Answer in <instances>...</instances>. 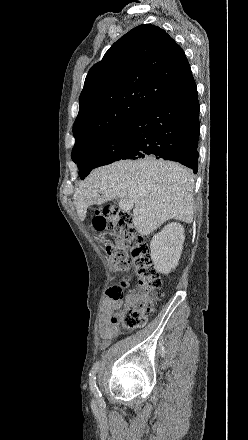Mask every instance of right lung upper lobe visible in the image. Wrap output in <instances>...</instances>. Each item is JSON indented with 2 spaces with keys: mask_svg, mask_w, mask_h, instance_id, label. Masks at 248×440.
<instances>
[{
  "mask_svg": "<svg viewBox=\"0 0 248 440\" xmlns=\"http://www.w3.org/2000/svg\"><path fill=\"white\" fill-rule=\"evenodd\" d=\"M194 86L183 49L157 26L135 27L89 70L73 125V149L127 124L154 102Z\"/></svg>",
  "mask_w": 248,
  "mask_h": 440,
  "instance_id": "cb5924a9",
  "label": "right lung upper lobe"
}]
</instances>
